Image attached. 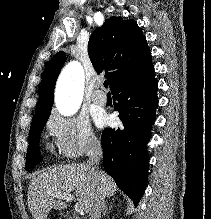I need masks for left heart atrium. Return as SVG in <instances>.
<instances>
[{
    "mask_svg": "<svg viewBox=\"0 0 211 219\" xmlns=\"http://www.w3.org/2000/svg\"><path fill=\"white\" fill-rule=\"evenodd\" d=\"M98 124L102 125L104 122H105V119L104 117H100L98 120H97Z\"/></svg>",
    "mask_w": 211,
    "mask_h": 219,
    "instance_id": "left-heart-atrium-1",
    "label": "left heart atrium"
}]
</instances>
